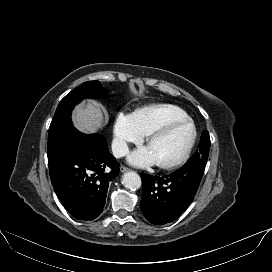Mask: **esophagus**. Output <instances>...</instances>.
<instances>
[{
	"mask_svg": "<svg viewBox=\"0 0 272 272\" xmlns=\"http://www.w3.org/2000/svg\"><path fill=\"white\" fill-rule=\"evenodd\" d=\"M120 171H121L122 173H124V172L130 171V169H129L128 167L121 166V167H120Z\"/></svg>",
	"mask_w": 272,
	"mask_h": 272,
	"instance_id": "34e87169",
	"label": "esophagus"
}]
</instances>
